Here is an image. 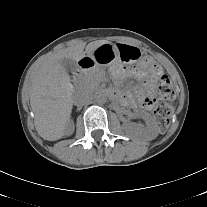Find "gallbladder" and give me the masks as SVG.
<instances>
[{"label": "gallbladder", "mask_w": 207, "mask_h": 207, "mask_svg": "<svg viewBox=\"0 0 207 207\" xmlns=\"http://www.w3.org/2000/svg\"><path fill=\"white\" fill-rule=\"evenodd\" d=\"M60 63L65 67L66 70L72 71L75 68V62L71 59L64 58L60 61Z\"/></svg>", "instance_id": "1"}]
</instances>
